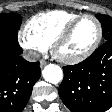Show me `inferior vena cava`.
Wrapping results in <instances>:
<instances>
[{
  "mask_svg": "<svg viewBox=\"0 0 112 112\" xmlns=\"http://www.w3.org/2000/svg\"><path fill=\"white\" fill-rule=\"evenodd\" d=\"M23 58L30 62H35L39 60L40 54L35 51H26L23 53Z\"/></svg>",
  "mask_w": 112,
  "mask_h": 112,
  "instance_id": "inferior-vena-cava-1",
  "label": "inferior vena cava"
}]
</instances>
